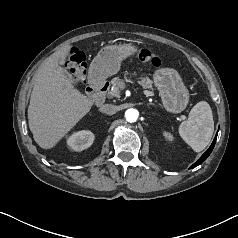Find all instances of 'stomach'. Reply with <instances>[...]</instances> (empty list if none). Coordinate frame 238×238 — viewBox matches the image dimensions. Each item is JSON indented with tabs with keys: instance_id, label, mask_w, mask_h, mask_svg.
<instances>
[{
	"instance_id": "1",
	"label": "stomach",
	"mask_w": 238,
	"mask_h": 238,
	"mask_svg": "<svg viewBox=\"0 0 238 238\" xmlns=\"http://www.w3.org/2000/svg\"><path fill=\"white\" fill-rule=\"evenodd\" d=\"M137 51L130 44L109 45L102 48L89 68L93 82L105 80L120 70L121 61ZM164 108L171 113H180L187 107L189 92L179 73L172 68H159L153 74Z\"/></svg>"
}]
</instances>
